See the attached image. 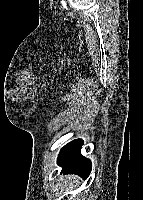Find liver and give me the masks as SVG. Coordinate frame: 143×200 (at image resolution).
<instances>
[{"instance_id": "obj_1", "label": "liver", "mask_w": 143, "mask_h": 200, "mask_svg": "<svg viewBox=\"0 0 143 200\" xmlns=\"http://www.w3.org/2000/svg\"><path fill=\"white\" fill-rule=\"evenodd\" d=\"M65 178L67 179V181H68L69 183H72V181H74V179H78L76 176H73V175H68V176H66ZM60 186H61V190H64L68 185H67V183L65 182V183H63V185L60 184Z\"/></svg>"}]
</instances>
